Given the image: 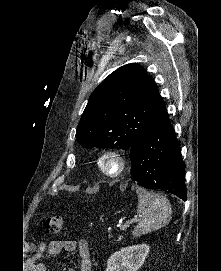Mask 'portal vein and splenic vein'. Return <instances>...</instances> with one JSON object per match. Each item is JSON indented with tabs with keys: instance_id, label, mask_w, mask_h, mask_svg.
I'll return each mask as SVG.
<instances>
[{
	"instance_id": "portal-vein-and-splenic-vein-1",
	"label": "portal vein and splenic vein",
	"mask_w": 221,
	"mask_h": 271,
	"mask_svg": "<svg viewBox=\"0 0 221 271\" xmlns=\"http://www.w3.org/2000/svg\"><path fill=\"white\" fill-rule=\"evenodd\" d=\"M133 218L134 219H128V221H126V223H124V225H120V229H125V227H127V225H129V223H133V221H137L138 218V213H133Z\"/></svg>"
}]
</instances>
